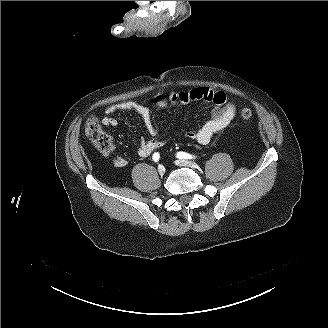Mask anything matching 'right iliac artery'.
I'll return each instance as SVG.
<instances>
[{"instance_id": "obj_1", "label": "right iliac artery", "mask_w": 328, "mask_h": 328, "mask_svg": "<svg viewBox=\"0 0 328 328\" xmlns=\"http://www.w3.org/2000/svg\"><path fill=\"white\" fill-rule=\"evenodd\" d=\"M152 158H153V160H154L155 162H157V161L159 160V158H160L159 153H158V152H157V153H154Z\"/></svg>"}]
</instances>
